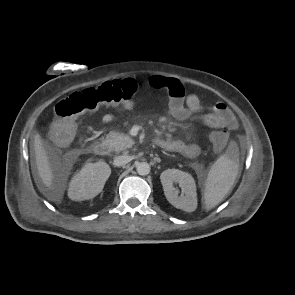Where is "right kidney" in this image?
<instances>
[{
    "instance_id": "right-kidney-1",
    "label": "right kidney",
    "mask_w": 295,
    "mask_h": 295,
    "mask_svg": "<svg viewBox=\"0 0 295 295\" xmlns=\"http://www.w3.org/2000/svg\"><path fill=\"white\" fill-rule=\"evenodd\" d=\"M111 174V168L105 162L86 163L72 178L68 196L74 201H83L97 196Z\"/></svg>"
}]
</instances>
